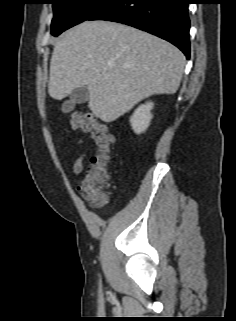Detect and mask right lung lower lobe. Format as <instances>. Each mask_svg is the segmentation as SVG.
Here are the masks:
<instances>
[{"mask_svg":"<svg viewBox=\"0 0 236 321\" xmlns=\"http://www.w3.org/2000/svg\"><path fill=\"white\" fill-rule=\"evenodd\" d=\"M188 0H110L87 20H107L144 30L177 46L189 59Z\"/></svg>","mask_w":236,"mask_h":321,"instance_id":"98d812e1","label":"right lung lower lobe"}]
</instances>
